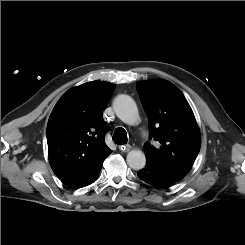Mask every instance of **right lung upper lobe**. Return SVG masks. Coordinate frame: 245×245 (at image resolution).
<instances>
[{
    "label": "right lung upper lobe",
    "instance_id": "obj_1",
    "mask_svg": "<svg viewBox=\"0 0 245 245\" xmlns=\"http://www.w3.org/2000/svg\"><path fill=\"white\" fill-rule=\"evenodd\" d=\"M115 85L93 81L68 90L54 107L47 125L52 170L67 186L80 188L100 173L111 154L105 144L102 113Z\"/></svg>",
    "mask_w": 245,
    "mask_h": 245
}]
</instances>
